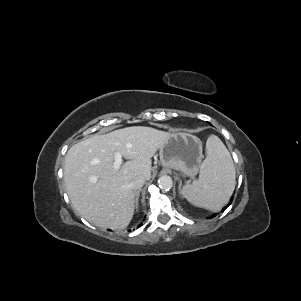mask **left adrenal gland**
Returning <instances> with one entry per match:
<instances>
[{
  "mask_svg": "<svg viewBox=\"0 0 301 301\" xmlns=\"http://www.w3.org/2000/svg\"><path fill=\"white\" fill-rule=\"evenodd\" d=\"M181 189V182H180V184H179V190Z\"/></svg>",
  "mask_w": 301,
  "mask_h": 301,
  "instance_id": "a2214340",
  "label": "left adrenal gland"
}]
</instances>
